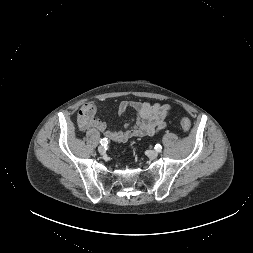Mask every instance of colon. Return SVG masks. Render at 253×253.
Masks as SVG:
<instances>
[{
    "label": "colon",
    "mask_w": 253,
    "mask_h": 253,
    "mask_svg": "<svg viewBox=\"0 0 253 253\" xmlns=\"http://www.w3.org/2000/svg\"><path fill=\"white\" fill-rule=\"evenodd\" d=\"M181 126L184 132H189L191 129V122L187 117L181 118Z\"/></svg>",
    "instance_id": "5ec220e1"
}]
</instances>
